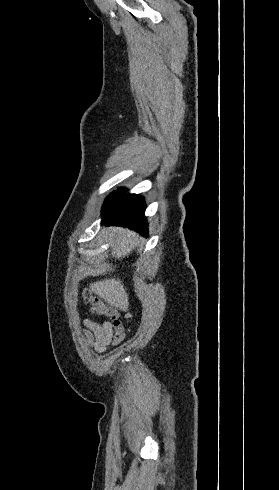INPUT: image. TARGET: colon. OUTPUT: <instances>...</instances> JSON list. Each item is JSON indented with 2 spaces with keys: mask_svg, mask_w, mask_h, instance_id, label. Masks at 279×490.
I'll use <instances>...</instances> for the list:
<instances>
[{
  "mask_svg": "<svg viewBox=\"0 0 279 490\" xmlns=\"http://www.w3.org/2000/svg\"><path fill=\"white\" fill-rule=\"evenodd\" d=\"M85 299L91 306V312L96 316H103L111 320L113 324V332L115 338H120L125 334V327L122 326V316L119 310L102 300L99 296L92 292L85 293Z\"/></svg>",
  "mask_w": 279,
  "mask_h": 490,
  "instance_id": "obj_1",
  "label": "colon"
}]
</instances>
